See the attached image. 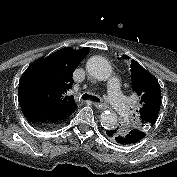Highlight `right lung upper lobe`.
Instances as JSON below:
<instances>
[{"instance_id":"obj_1","label":"right lung upper lobe","mask_w":177,"mask_h":177,"mask_svg":"<svg viewBox=\"0 0 177 177\" xmlns=\"http://www.w3.org/2000/svg\"><path fill=\"white\" fill-rule=\"evenodd\" d=\"M89 50L63 48L30 65L19 82L22 110L67 119L76 109L73 96L65 93L72 87V75Z\"/></svg>"}]
</instances>
